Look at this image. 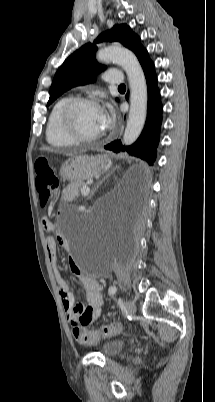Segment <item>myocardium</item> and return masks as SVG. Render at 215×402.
Returning a JSON list of instances; mask_svg holds the SVG:
<instances>
[{"instance_id": "obj_1", "label": "myocardium", "mask_w": 215, "mask_h": 402, "mask_svg": "<svg viewBox=\"0 0 215 402\" xmlns=\"http://www.w3.org/2000/svg\"><path fill=\"white\" fill-rule=\"evenodd\" d=\"M82 105H95L99 107L98 102L90 97H74L69 100L62 109L60 116V124L62 131L74 143H90L100 139L103 133L92 136L81 134L75 124V114L77 109Z\"/></svg>"}]
</instances>
